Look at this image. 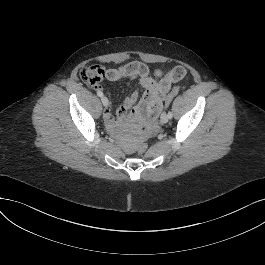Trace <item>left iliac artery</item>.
<instances>
[{
  "mask_svg": "<svg viewBox=\"0 0 265 265\" xmlns=\"http://www.w3.org/2000/svg\"><path fill=\"white\" fill-rule=\"evenodd\" d=\"M168 117L171 119L173 117V113L171 111L168 112Z\"/></svg>",
  "mask_w": 265,
  "mask_h": 265,
  "instance_id": "obj_1",
  "label": "left iliac artery"
}]
</instances>
